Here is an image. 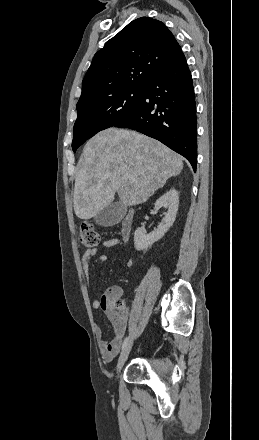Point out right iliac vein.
Wrapping results in <instances>:
<instances>
[{
	"label": "right iliac vein",
	"instance_id": "obj_1",
	"mask_svg": "<svg viewBox=\"0 0 259 440\" xmlns=\"http://www.w3.org/2000/svg\"><path fill=\"white\" fill-rule=\"evenodd\" d=\"M133 345V338L129 341V343L127 344V346L125 347V349L122 351L119 359H118V363H117V367H116V377L119 376V373L124 365V363L126 362L128 355L131 351Z\"/></svg>",
	"mask_w": 259,
	"mask_h": 440
}]
</instances>
